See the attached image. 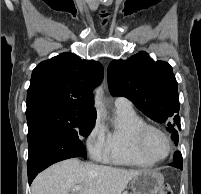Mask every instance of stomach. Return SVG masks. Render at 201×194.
<instances>
[{
  "label": "stomach",
  "instance_id": "1",
  "mask_svg": "<svg viewBox=\"0 0 201 194\" xmlns=\"http://www.w3.org/2000/svg\"><path fill=\"white\" fill-rule=\"evenodd\" d=\"M164 177L153 170H144L131 180L133 194H157L163 187Z\"/></svg>",
  "mask_w": 201,
  "mask_h": 194
}]
</instances>
